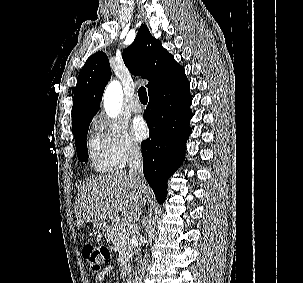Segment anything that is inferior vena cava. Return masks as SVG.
Segmentation results:
<instances>
[{"label": "inferior vena cava", "mask_w": 303, "mask_h": 283, "mask_svg": "<svg viewBox=\"0 0 303 283\" xmlns=\"http://www.w3.org/2000/svg\"><path fill=\"white\" fill-rule=\"evenodd\" d=\"M129 174L136 178H143V161L141 149L137 145H131L129 148ZM141 259V257H140ZM145 266L140 260V265L136 266L135 278L133 283H144Z\"/></svg>", "instance_id": "602c4592"}]
</instances>
